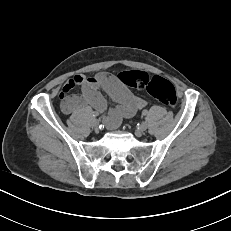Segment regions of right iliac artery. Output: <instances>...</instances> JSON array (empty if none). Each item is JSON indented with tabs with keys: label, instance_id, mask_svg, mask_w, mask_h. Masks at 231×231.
<instances>
[{
	"label": "right iliac artery",
	"instance_id": "1",
	"mask_svg": "<svg viewBox=\"0 0 231 231\" xmlns=\"http://www.w3.org/2000/svg\"><path fill=\"white\" fill-rule=\"evenodd\" d=\"M98 115H99V114H98L97 112H93V113H92V116H93V117H97Z\"/></svg>",
	"mask_w": 231,
	"mask_h": 231
}]
</instances>
